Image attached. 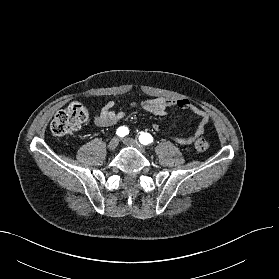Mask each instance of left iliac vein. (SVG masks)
I'll return each instance as SVG.
<instances>
[{
    "instance_id": "1",
    "label": "left iliac vein",
    "mask_w": 279,
    "mask_h": 279,
    "mask_svg": "<svg viewBox=\"0 0 279 279\" xmlns=\"http://www.w3.org/2000/svg\"><path fill=\"white\" fill-rule=\"evenodd\" d=\"M123 142L127 146H131V147L138 149L143 154L146 153L145 147L142 144H140L137 140H134L132 138H125V139H123Z\"/></svg>"
}]
</instances>
